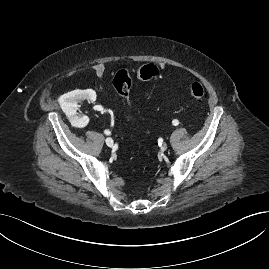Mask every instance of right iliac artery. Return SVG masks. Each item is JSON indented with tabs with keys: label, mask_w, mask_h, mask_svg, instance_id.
Masks as SVG:
<instances>
[{
	"label": "right iliac artery",
	"mask_w": 269,
	"mask_h": 269,
	"mask_svg": "<svg viewBox=\"0 0 269 269\" xmlns=\"http://www.w3.org/2000/svg\"><path fill=\"white\" fill-rule=\"evenodd\" d=\"M104 133H105L106 135H109V134H110V131H109V130H105Z\"/></svg>",
	"instance_id": "obj_1"
}]
</instances>
